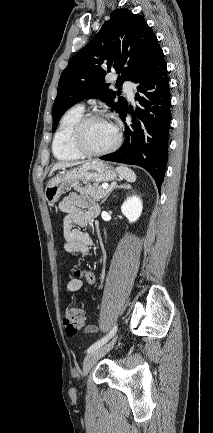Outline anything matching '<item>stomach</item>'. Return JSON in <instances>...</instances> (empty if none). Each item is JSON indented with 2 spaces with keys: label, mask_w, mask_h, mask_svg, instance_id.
Instances as JSON below:
<instances>
[{
  "label": "stomach",
  "mask_w": 213,
  "mask_h": 433,
  "mask_svg": "<svg viewBox=\"0 0 213 433\" xmlns=\"http://www.w3.org/2000/svg\"><path fill=\"white\" fill-rule=\"evenodd\" d=\"M118 173L107 163L93 160L49 180L45 188V199L49 205L56 203L62 194L79 181L108 182L115 180Z\"/></svg>",
  "instance_id": "1"
}]
</instances>
